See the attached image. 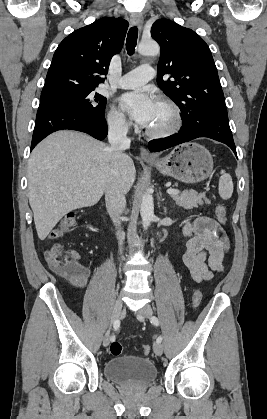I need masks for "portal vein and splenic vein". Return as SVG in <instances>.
Returning <instances> with one entry per match:
<instances>
[{
    "label": "portal vein and splenic vein",
    "mask_w": 267,
    "mask_h": 419,
    "mask_svg": "<svg viewBox=\"0 0 267 419\" xmlns=\"http://www.w3.org/2000/svg\"><path fill=\"white\" fill-rule=\"evenodd\" d=\"M167 193L169 194V195H171V196H173V195H177V194H179L180 193V191L179 190H177V189H168L167 190Z\"/></svg>",
    "instance_id": "1"
}]
</instances>
